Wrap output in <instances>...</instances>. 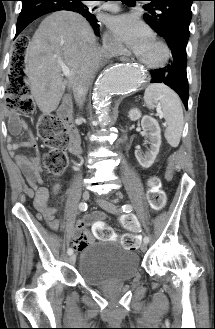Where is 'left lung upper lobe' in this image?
<instances>
[{"label":"left lung upper lobe","instance_id":"obj_1","mask_svg":"<svg viewBox=\"0 0 215 329\" xmlns=\"http://www.w3.org/2000/svg\"><path fill=\"white\" fill-rule=\"evenodd\" d=\"M157 12L144 14L145 22L160 36L175 32L189 39V25L192 17L191 5L195 0H150Z\"/></svg>","mask_w":215,"mask_h":329}]
</instances>
